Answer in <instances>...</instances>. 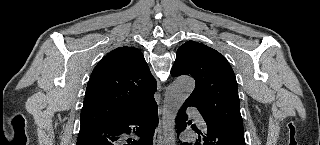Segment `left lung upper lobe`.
<instances>
[{"label":"left lung upper lobe","mask_w":320,"mask_h":145,"mask_svg":"<svg viewBox=\"0 0 320 145\" xmlns=\"http://www.w3.org/2000/svg\"><path fill=\"white\" fill-rule=\"evenodd\" d=\"M171 74L195 79V89L186 101L206 121L243 130L237 81L222 54L202 43L188 41L178 48Z\"/></svg>","instance_id":"1"}]
</instances>
